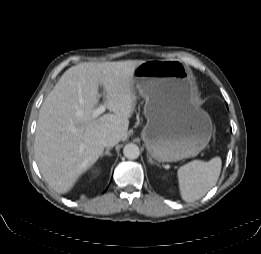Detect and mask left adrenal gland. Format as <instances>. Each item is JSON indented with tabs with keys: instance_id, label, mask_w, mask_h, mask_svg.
<instances>
[{
	"instance_id": "1",
	"label": "left adrenal gland",
	"mask_w": 261,
	"mask_h": 254,
	"mask_svg": "<svg viewBox=\"0 0 261 254\" xmlns=\"http://www.w3.org/2000/svg\"><path fill=\"white\" fill-rule=\"evenodd\" d=\"M147 157H148V161H149L151 164H155V162L152 160V158H151L150 156L147 155Z\"/></svg>"
}]
</instances>
